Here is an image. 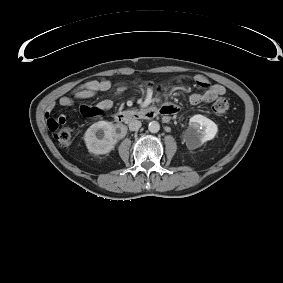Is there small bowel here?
I'll return each instance as SVG.
<instances>
[{"instance_id":"small-bowel-1","label":"small bowel","mask_w":283,"mask_h":283,"mask_svg":"<svg viewBox=\"0 0 283 283\" xmlns=\"http://www.w3.org/2000/svg\"><path fill=\"white\" fill-rule=\"evenodd\" d=\"M183 78H178L177 81H182ZM195 84L202 88V93H193L189 95V102L192 105H198L204 102H211L216 98L223 96L226 92L222 85H211L209 80L201 74H197L193 78ZM136 82L142 83V80ZM112 87V82L106 78H99L87 81L78 85L69 93L61 96L58 103L63 107H73L77 100H84L95 96L98 93L108 91ZM112 107L110 100L101 101L98 106L92 107L88 105L81 106V112L86 117H94L101 113L102 110H109ZM163 114H172L176 112V108L171 104H164L161 108ZM65 115L60 114L57 117L50 116L49 112L46 113V123L50 130L54 129L58 124L65 123Z\"/></svg>"}]
</instances>
